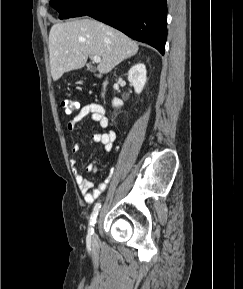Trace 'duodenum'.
Here are the masks:
<instances>
[{
    "label": "duodenum",
    "mask_w": 243,
    "mask_h": 289,
    "mask_svg": "<svg viewBox=\"0 0 243 289\" xmlns=\"http://www.w3.org/2000/svg\"><path fill=\"white\" fill-rule=\"evenodd\" d=\"M107 85H108V79L104 78L103 82H102V85H101V92H100L101 97L105 96Z\"/></svg>",
    "instance_id": "410a0bca"
}]
</instances>
